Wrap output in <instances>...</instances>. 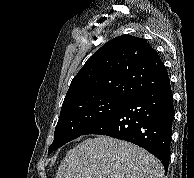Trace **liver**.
Instances as JSON below:
<instances>
[{"mask_svg": "<svg viewBox=\"0 0 194 178\" xmlns=\"http://www.w3.org/2000/svg\"><path fill=\"white\" fill-rule=\"evenodd\" d=\"M161 162L132 143L88 138L68 151L55 178H163Z\"/></svg>", "mask_w": 194, "mask_h": 178, "instance_id": "6515ba94", "label": "liver"}]
</instances>
